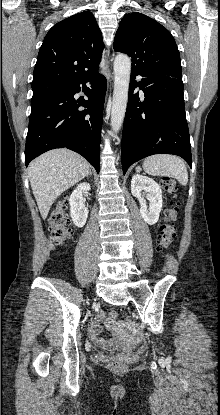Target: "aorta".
Wrapping results in <instances>:
<instances>
[{
    "instance_id": "aorta-1",
    "label": "aorta",
    "mask_w": 220,
    "mask_h": 415,
    "mask_svg": "<svg viewBox=\"0 0 220 415\" xmlns=\"http://www.w3.org/2000/svg\"><path fill=\"white\" fill-rule=\"evenodd\" d=\"M114 92L111 109V127L114 132L121 129L125 117L131 72V60L118 54L114 60Z\"/></svg>"
}]
</instances>
